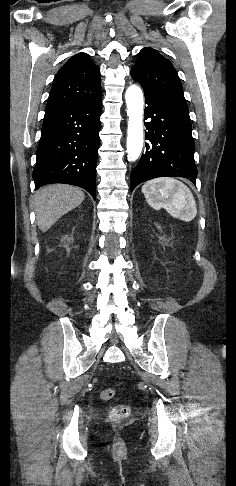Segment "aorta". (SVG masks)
Returning <instances> with one entry per match:
<instances>
[{"instance_id":"1","label":"aorta","mask_w":236,"mask_h":486,"mask_svg":"<svg viewBox=\"0 0 236 486\" xmlns=\"http://www.w3.org/2000/svg\"><path fill=\"white\" fill-rule=\"evenodd\" d=\"M128 130L127 158L128 161L138 159L143 148V93L136 85H131L125 93Z\"/></svg>"}]
</instances>
